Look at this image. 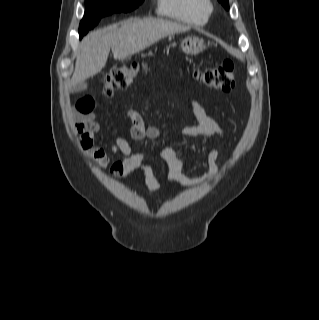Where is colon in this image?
Returning <instances> with one entry per match:
<instances>
[{
	"label": "colon",
	"instance_id": "colon-1",
	"mask_svg": "<svg viewBox=\"0 0 319 320\" xmlns=\"http://www.w3.org/2000/svg\"><path fill=\"white\" fill-rule=\"evenodd\" d=\"M140 70L141 66L136 62L114 67L104 80V95L111 96L115 90L126 89L137 77ZM195 77L205 86L223 91L233 89L236 83L234 65L230 60H224L214 67L197 70ZM121 168L120 162L115 163L112 166L113 173L117 174Z\"/></svg>",
	"mask_w": 319,
	"mask_h": 320
}]
</instances>
